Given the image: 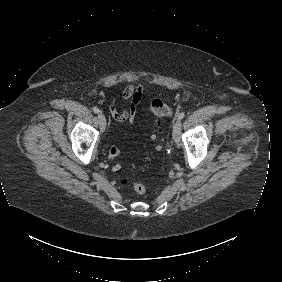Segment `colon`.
Wrapping results in <instances>:
<instances>
[{
  "label": "colon",
  "mask_w": 282,
  "mask_h": 282,
  "mask_svg": "<svg viewBox=\"0 0 282 282\" xmlns=\"http://www.w3.org/2000/svg\"><path fill=\"white\" fill-rule=\"evenodd\" d=\"M154 112L157 115H165L168 118H171L175 115L176 110L173 106L171 105H166L164 102H157L154 105ZM152 141H153V147L155 149H159L160 148V142H161V137L158 134L152 135L151 137ZM120 155V150L117 147H111L109 150V157L111 160H116ZM114 171L118 174L121 175V173L123 172V166L121 164H115L114 165ZM121 177V176H120ZM122 182L126 183L127 179L122 178ZM133 189L135 191L136 194L138 195H144L146 193V186L143 183H135L133 185Z\"/></svg>",
  "instance_id": "obj_1"
}]
</instances>
